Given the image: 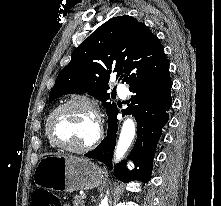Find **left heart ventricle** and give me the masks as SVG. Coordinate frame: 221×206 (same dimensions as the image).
<instances>
[{"label":"left heart ventricle","mask_w":221,"mask_h":206,"mask_svg":"<svg viewBox=\"0 0 221 206\" xmlns=\"http://www.w3.org/2000/svg\"><path fill=\"white\" fill-rule=\"evenodd\" d=\"M95 131L96 124L92 113L79 105L63 109L52 122L55 139L73 147H82L90 143Z\"/></svg>","instance_id":"1"}]
</instances>
